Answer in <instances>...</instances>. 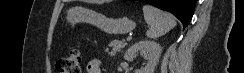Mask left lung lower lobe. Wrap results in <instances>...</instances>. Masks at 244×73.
I'll use <instances>...</instances> for the list:
<instances>
[{
  "label": "left lung lower lobe",
  "mask_w": 244,
  "mask_h": 73,
  "mask_svg": "<svg viewBox=\"0 0 244 73\" xmlns=\"http://www.w3.org/2000/svg\"><path fill=\"white\" fill-rule=\"evenodd\" d=\"M171 12L186 27L194 14L197 0H138Z\"/></svg>",
  "instance_id": "obj_1"
}]
</instances>
